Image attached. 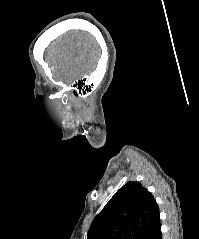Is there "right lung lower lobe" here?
Segmentation results:
<instances>
[{
	"label": "right lung lower lobe",
	"mask_w": 199,
	"mask_h": 239,
	"mask_svg": "<svg viewBox=\"0 0 199 239\" xmlns=\"http://www.w3.org/2000/svg\"><path fill=\"white\" fill-rule=\"evenodd\" d=\"M140 239H162L161 224L158 219L141 237Z\"/></svg>",
	"instance_id": "obj_1"
}]
</instances>
